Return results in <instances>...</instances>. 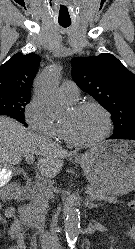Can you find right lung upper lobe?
Returning a JSON list of instances; mask_svg holds the SVG:
<instances>
[{
    "mask_svg": "<svg viewBox=\"0 0 135 249\" xmlns=\"http://www.w3.org/2000/svg\"><path fill=\"white\" fill-rule=\"evenodd\" d=\"M40 61L35 53L14 54L0 66V92L30 95Z\"/></svg>",
    "mask_w": 135,
    "mask_h": 249,
    "instance_id": "cb5924a9",
    "label": "right lung upper lobe"
}]
</instances>
